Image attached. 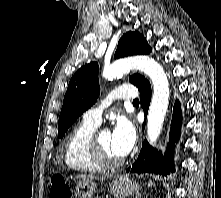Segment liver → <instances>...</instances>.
<instances>
[{"mask_svg":"<svg viewBox=\"0 0 221 198\" xmlns=\"http://www.w3.org/2000/svg\"><path fill=\"white\" fill-rule=\"evenodd\" d=\"M77 178L82 179V180H92V179H99L98 176H93V175H87V174H80L77 176ZM103 180V178H100Z\"/></svg>","mask_w":221,"mask_h":198,"instance_id":"1","label":"liver"}]
</instances>
